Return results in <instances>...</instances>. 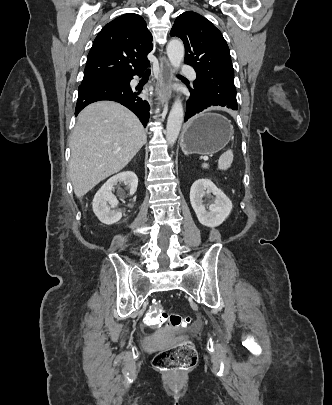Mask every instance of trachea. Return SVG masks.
I'll return each instance as SVG.
<instances>
[{
	"instance_id": "3493384b",
	"label": "trachea",
	"mask_w": 332,
	"mask_h": 405,
	"mask_svg": "<svg viewBox=\"0 0 332 405\" xmlns=\"http://www.w3.org/2000/svg\"><path fill=\"white\" fill-rule=\"evenodd\" d=\"M146 73H150V70H147Z\"/></svg>"
}]
</instances>
